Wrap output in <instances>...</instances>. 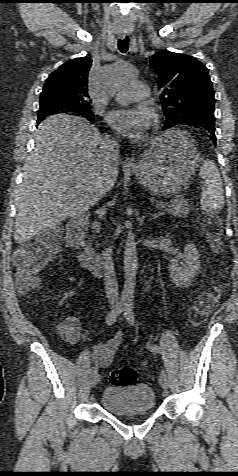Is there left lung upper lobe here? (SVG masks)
Wrapping results in <instances>:
<instances>
[{
	"label": "left lung upper lobe",
	"mask_w": 238,
	"mask_h": 476,
	"mask_svg": "<svg viewBox=\"0 0 238 476\" xmlns=\"http://www.w3.org/2000/svg\"><path fill=\"white\" fill-rule=\"evenodd\" d=\"M162 89L161 103L166 116L164 127L215 121V98L207 68L197 59L168 50L150 58Z\"/></svg>",
	"instance_id": "1"
}]
</instances>
